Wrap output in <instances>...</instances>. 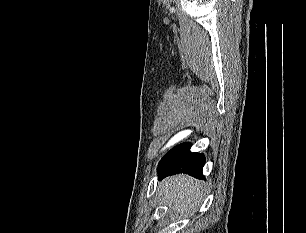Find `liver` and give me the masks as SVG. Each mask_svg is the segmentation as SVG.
Listing matches in <instances>:
<instances>
[{
    "mask_svg": "<svg viewBox=\"0 0 306 233\" xmlns=\"http://www.w3.org/2000/svg\"><path fill=\"white\" fill-rule=\"evenodd\" d=\"M202 184L187 175H175L160 184L161 193L176 215L194 212L202 199Z\"/></svg>",
    "mask_w": 306,
    "mask_h": 233,
    "instance_id": "1",
    "label": "liver"
}]
</instances>
